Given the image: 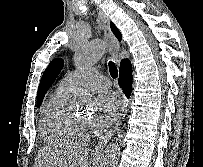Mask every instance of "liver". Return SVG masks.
<instances>
[{
	"mask_svg": "<svg viewBox=\"0 0 203 167\" xmlns=\"http://www.w3.org/2000/svg\"><path fill=\"white\" fill-rule=\"evenodd\" d=\"M89 148L83 144L46 147L37 155L35 167H91Z\"/></svg>",
	"mask_w": 203,
	"mask_h": 167,
	"instance_id": "6515ba94",
	"label": "liver"
}]
</instances>
